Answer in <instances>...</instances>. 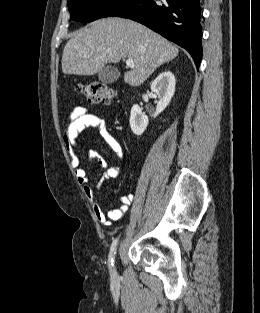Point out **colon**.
I'll return each mask as SVG.
<instances>
[{
  "label": "colon",
  "instance_id": "1",
  "mask_svg": "<svg viewBox=\"0 0 260 313\" xmlns=\"http://www.w3.org/2000/svg\"><path fill=\"white\" fill-rule=\"evenodd\" d=\"M76 91L92 104L109 103L115 96L113 89L100 82L78 84Z\"/></svg>",
  "mask_w": 260,
  "mask_h": 313
}]
</instances>
